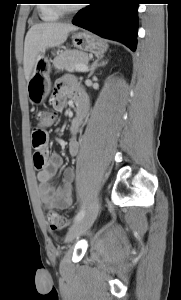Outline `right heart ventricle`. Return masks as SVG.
<instances>
[{
	"instance_id": "obj_1",
	"label": "right heart ventricle",
	"mask_w": 181,
	"mask_h": 300,
	"mask_svg": "<svg viewBox=\"0 0 181 300\" xmlns=\"http://www.w3.org/2000/svg\"><path fill=\"white\" fill-rule=\"evenodd\" d=\"M37 7L39 17L45 22H55L61 17V14L55 9L52 0H41Z\"/></svg>"
}]
</instances>
